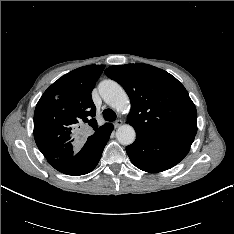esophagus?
<instances>
[{"label":"esophagus","instance_id":"34e87169","mask_svg":"<svg viewBox=\"0 0 234 234\" xmlns=\"http://www.w3.org/2000/svg\"><path fill=\"white\" fill-rule=\"evenodd\" d=\"M123 124V121L121 119H118L114 122V127L118 128Z\"/></svg>","mask_w":234,"mask_h":234}]
</instances>
